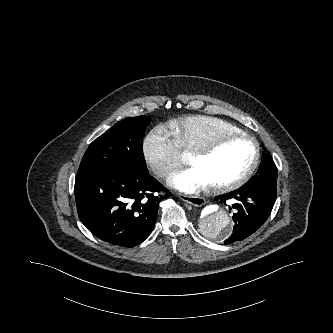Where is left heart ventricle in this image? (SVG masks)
I'll list each match as a JSON object with an SVG mask.
<instances>
[{
	"label": "left heart ventricle",
	"instance_id": "left-heart-ventricle-1",
	"mask_svg": "<svg viewBox=\"0 0 333 333\" xmlns=\"http://www.w3.org/2000/svg\"><path fill=\"white\" fill-rule=\"evenodd\" d=\"M254 154L252 142L235 139L225 141L207 156L190 158V162L204 175L208 185H216L238 178L250 166Z\"/></svg>",
	"mask_w": 333,
	"mask_h": 333
}]
</instances>
